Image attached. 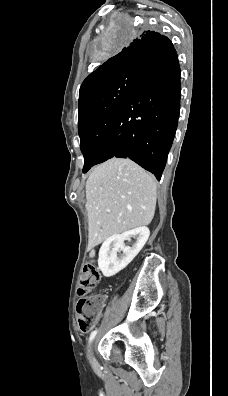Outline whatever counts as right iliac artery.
Here are the masks:
<instances>
[{"label":"right iliac artery","instance_id":"right-iliac-artery-1","mask_svg":"<svg viewBox=\"0 0 228 396\" xmlns=\"http://www.w3.org/2000/svg\"><path fill=\"white\" fill-rule=\"evenodd\" d=\"M96 334H97V330H94V331L90 334V337H89V344H90V343L92 342V340L95 338Z\"/></svg>","mask_w":228,"mask_h":396}]
</instances>
